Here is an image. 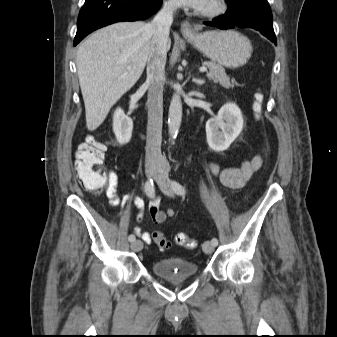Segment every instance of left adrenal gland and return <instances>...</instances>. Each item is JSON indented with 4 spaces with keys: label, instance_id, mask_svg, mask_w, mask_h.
I'll return each instance as SVG.
<instances>
[{
    "label": "left adrenal gland",
    "instance_id": "a2214340",
    "mask_svg": "<svg viewBox=\"0 0 337 337\" xmlns=\"http://www.w3.org/2000/svg\"><path fill=\"white\" fill-rule=\"evenodd\" d=\"M193 82H195L197 85H203L205 81L201 79H193Z\"/></svg>",
    "mask_w": 337,
    "mask_h": 337
}]
</instances>
